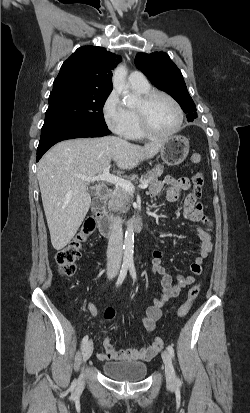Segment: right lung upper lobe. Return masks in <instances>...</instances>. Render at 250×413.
<instances>
[{
  "label": "right lung upper lobe",
  "instance_id": "1",
  "mask_svg": "<svg viewBox=\"0 0 250 413\" xmlns=\"http://www.w3.org/2000/svg\"><path fill=\"white\" fill-rule=\"evenodd\" d=\"M121 56L103 47L78 48L61 66L53 88L76 85L85 89L112 91V72Z\"/></svg>",
  "mask_w": 250,
  "mask_h": 413
}]
</instances>
